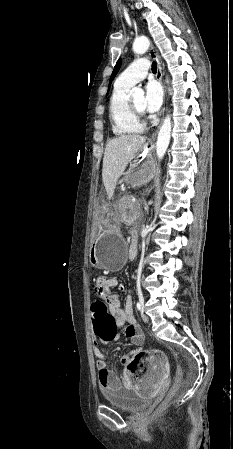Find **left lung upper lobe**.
<instances>
[{"label":"left lung upper lobe","mask_w":233,"mask_h":449,"mask_svg":"<svg viewBox=\"0 0 233 449\" xmlns=\"http://www.w3.org/2000/svg\"><path fill=\"white\" fill-rule=\"evenodd\" d=\"M120 66H121V59L118 60L117 64H116L115 67H114V70H113L112 75H111V78H110L109 86H110L112 80L114 79V77L116 76L117 72L119 71ZM108 90H109V89H108Z\"/></svg>","instance_id":"obj_1"}]
</instances>
